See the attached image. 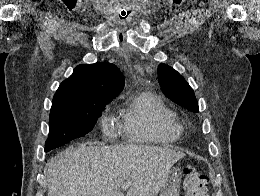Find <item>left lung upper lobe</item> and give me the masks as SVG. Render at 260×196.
I'll list each match as a JSON object with an SVG mask.
<instances>
[{
	"instance_id": "obj_1",
	"label": "left lung upper lobe",
	"mask_w": 260,
	"mask_h": 196,
	"mask_svg": "<svg viewBox=\"0 0 260 196\" xmlns=\"http://www.w3.org/2000/svg\"><path fill=\"white\" fill-rule=\"evenodd\" d=\"M158 81L166 97L193 112H198V103L193 89L177 71L165 64H160Z\"/></svg>"
}]
</instances>
